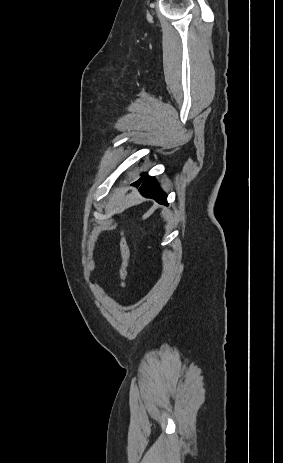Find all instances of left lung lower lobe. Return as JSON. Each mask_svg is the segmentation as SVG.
I'll return each mask as SVG.
<instances>
[{
  "mask_svg": "<svg viewBox=\"0 0 283 463\" xmlns=\"http://www.w3.org/2000/svg\"><path fill=\"white\" fill-rule=\"evenodd\" d=\"M143 176L145 177L140 178L134 183L135 185H140L142 183L140 187L141 194L145 197L156 199L158 203L167 204L166 195L160 190L154 178L146 174Z\"/></svg>",
  "mask_w": 283,
  "mask_h": 463,
  "instance_id": "0a47b994",
  "label": "left lung lower lobe"
}]
</instances>
